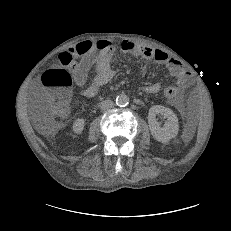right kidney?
Here are the masks:
<instances>
[{
    "label": "right kidney",
    "mask_w": 231,
    "mask_h": 231,
    "mask_svg": "<svg viewBox=\"0 0 231 231\" xmlns=\"http://www.w3.org/2000/svg\"><path fill=\"white\" fill-rule=\"evenodd\" d=\"M85 126V120L83 118H78L73 123V131L77 134H81Z\"/></svg>",
    "instance_id": "right-kidney-1"
}]
</instances>
